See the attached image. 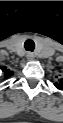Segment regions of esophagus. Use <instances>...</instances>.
<instances>
[{
    "mask_svg": "<svg viewBox=\"0 0 63 123\" xmlns=\"http://www.w3.org/2000/svg\"><path fill=\"white\" fill-rule=\"evenodd\" d=\"M27 58L30 59V60H32V59L35 58V54L33 52H28L27 53Z\"/></svg>",
    "mask_w": 63,
    "mask_h": 123,
    "instance_id": "esophagus-1",
    "label": "esophagus"
}]
</instances>
